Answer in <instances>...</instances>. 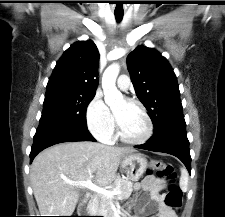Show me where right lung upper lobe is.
Wrapping results in <instances>:
<instances>
[{
	"instance_id": "cb5924a9",
	"label": "right lung upper lobe",
	"mask_w": 225,
	"mask_h": 217,
	"mask_svg": "<svg viewBox=\"0 0 225 217\" xmlns=\"http://www.w3.org/2000/svg\"><path fill=\"white\" fill-rule=\"evenodd\" d=\"M99 52L93 41H78L57 62L47 84L46 93L68 92L95 95Z\"/></svg>"
}]
</instances>
